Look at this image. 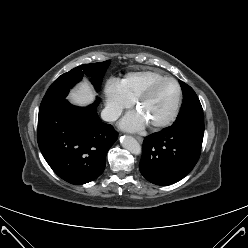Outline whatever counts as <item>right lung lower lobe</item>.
Listing matches in <instances>:
<instances>
[{"label": "right lung lower lobe", "instance_id": "obj_1", "mask_svg": "<svg viewBox=\"0 0 248 248\" xmlns=\"http://www.w3.org/2000/svg\"><path fill=\"white\" fill-rule=\"evenodd\" d=\"M91 106L80 108L65 98L42 110L38 116V145L52 170L71 184L96 179L105 168L106 154L118 138L114 128L103 123Z\"/></svg>", "mask_w": 248, "mask_h": 248}]
</instances>
